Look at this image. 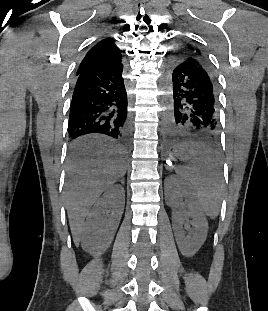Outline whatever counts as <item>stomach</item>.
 <instances>
[{
	"label": "stomach",
	"instance_id": "obj_1",
	"mask_svg": "<svg viewBox=\"0 0 268 311\" xmlns=\"http://www.w3.org/2000/svg\"><path fill=\"white\" fill-rule=\"evenodd\" d=\"M174 155H175L176 157H178L176 152H174Z\"/></svg>",
	"mask_w": 268,
	"mask_h": 311
}]
</instances>
